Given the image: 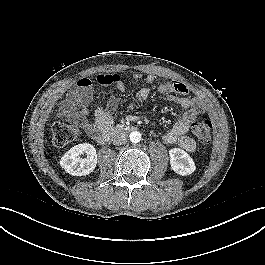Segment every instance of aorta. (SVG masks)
<instances>
[{
    "instance_id": "obj_1",
    "label": "aorta",
    "mask_w": 265,
    "mask_h": 265,
    "mask_svg": "<svg viewBox=\"0 0 265 265\" xmlns=\"http://www.w3.org/2000/svg\"><path fill=\"white\" fill-rule=\"evenodd\" d=\"M129 138L132 143H138L141 141V133L138 131H133L130 133Z\"/></svg>"
}]
</instances>
